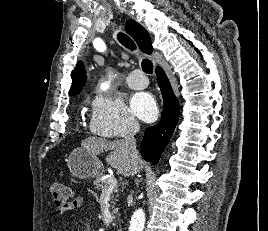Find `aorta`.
I'll return each mask as SVG.
<instances>
[{
  "label": "aorta",
  "instance_id": "1",
  "mask_svg": "<svg viewBox=\"0 0 268 231\" xmlns=\"http://www.w3.org/2000/svg\"><path fill=\"white\" fill-rule=\"evenodd\" d=\"M109 87L108 83H104L101 85L102 90H107ZM145 223V213L142 209H137L133 213L130 221L129 231H143Z\"/></svg>",
  "mask_w": 268,
  "mask_h": 231
}]
</instances>
